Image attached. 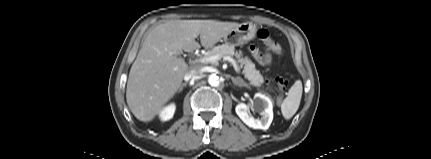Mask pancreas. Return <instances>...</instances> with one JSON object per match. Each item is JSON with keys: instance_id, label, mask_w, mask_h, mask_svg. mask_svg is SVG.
Listing matches in <instances>:
<instances>
[{"instance_id": "1", "label": "pancreas", "mask_w": 431, "mask_h": 159, "mask_svg": "<svg viewBox=\"0 0 431 159\" xmlns=\"http://www.w3.org/2000/svg\"><path fill=\"white\" fill-rule=\"evenodd\" d=\"M206 55H219L220 57L235 56L238 63L240 64V67H243V74L249 81L250 85L261 87L264 83L263 76L258 70H256L255 64L248 57H243L242 51H235L233 46L226 44L219 45L208 51Z\"/></svg>"}]
</instances>
